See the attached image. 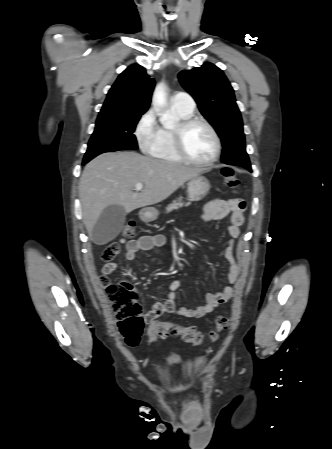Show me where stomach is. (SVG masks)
<instances>
[{"label":"stomach","instance_id":"0dacf381","mask_svg":"<svg viewBox=\"0 0 332 449\" xmlns=\"http://www.w3.org/2000/svg\"><path fill=\"white\" fill-rule=\"evenodd\" d=\"M210 190V183L204 176L198 175L189 180L187 184L188 198L192 202H198L206 197ZM159 211L153 207H147L140 211L139 216L144 222H151L158 218Z\"/></svg>","mask_w":332,"mask_h":449}]
</instances>
